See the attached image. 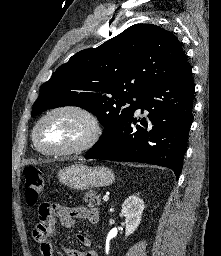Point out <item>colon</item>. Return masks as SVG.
<instances>
[{"label":"colon","instance_id":"5ec220e1","mask_svg":"<svg viewBox=\"0 0 221 256\" xmlns=\"http://www.w3.org/2000/svg\"><path fill=\"white\" fill-rule=\"evenodd\" d=\"M25 178V196L27 204L35 205L45 187V177L42 171L34 166H28L24 169Z\"/></svg>","mask_w":221,"mask_h":256}]
</instances>
